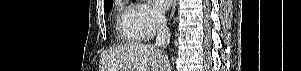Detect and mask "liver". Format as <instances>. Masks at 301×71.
Here are the masks:
<instances>
[{
  "label": "liver",
  "mask_w": 301,
  "mask_h": 71,
  "mask_svg": "<svg viewBox=\"0 0 301 71\" xmlns=\"http://www.w3.org/2000/svg\"><path fill=\"white\" fill-rule=\"evenodd\" d=\"M102 71H166L168 58L151 44L129 43L102 54Z\"/></svg>",
  "instance_id": "liver-1"
}]
</instances>
